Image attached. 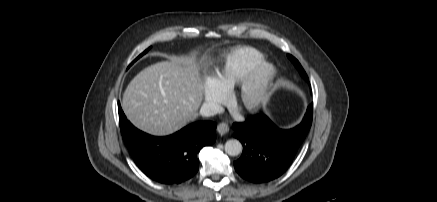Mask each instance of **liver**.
Segmentation results:
<instances>
[{"instance_id":"obj_1","label":"liver","mask_w":437,"mask_h":202,"mask_svg":"<svg viewBox=\"0 0 437 202\" xmlns=\"http://www.w3.org/2000/svg\"><path fill=\"white\" fill-rule=\"evenodd\" d=\"M201 66L193 56L150 65L129 83L122 101L128 120L157 136L172 134L197 116L203 99Z\"/></svg>"}]
</instances>
